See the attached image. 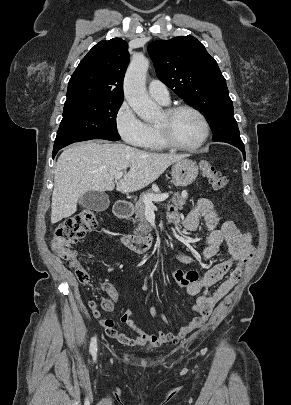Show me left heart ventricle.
I'll return each mask as SVG.
<instances>
[{"mask_svg": "<svg viewBox=\"0 0 291 405\" xmlns=\"http://www.w3.org/2000/svg\"><path fill=\"white\" fill-rule=\"evenodd\" d=\"M165 121L164 113L161 115L158 124ZM171 132L173 138L183 145H194L203 136V124L200 118L189 110L178 112L171 120Z\"/></svg>", "mask_w": 291, "mask_h": 405, "instance_id": "b2bd125f", "label": "left heart ventricle"}]
</instances>
